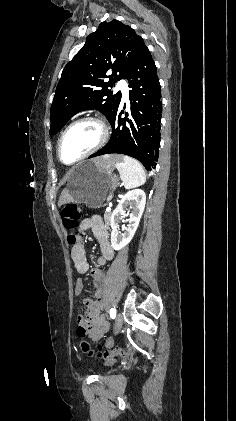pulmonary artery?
<instances>
[{
  "label": "pulmonary artery",
  "instance_id": "1",
  "mask_svg": "<svg viewBox=\"0 0 236 421\" xmlns=\"http://www.w3.org/2000/svg\"><path fill=\"white\" fill-rule=\"evenodd\" d=\"M119 83L120 84H123L124 83V80L123 79H120L119 80ZM120 89H121V92H122V100H123V102L128 103L129 102V99H128V87L127 86H123Z\"/></svg>",
  "mask_w": 236,
  "mask_h": 421
}]
</instances>
